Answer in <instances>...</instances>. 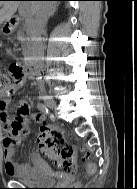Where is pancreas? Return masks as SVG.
<instances>
[{"label": "pancreas", "instance_id": "pancreas-1", "mask_svg": "<svg viewBox=\"0 0 137 189\" xmlns=\"http://www.w3.org/2000/svg\"><path fill=\"white\" fill-rule=\"evenodd\" d=\"M18 40H20L24 44L27 42V38L23 32H19Z\"/></svg>", "mask_w": 137, "mask_h": 189}]
</instances>
